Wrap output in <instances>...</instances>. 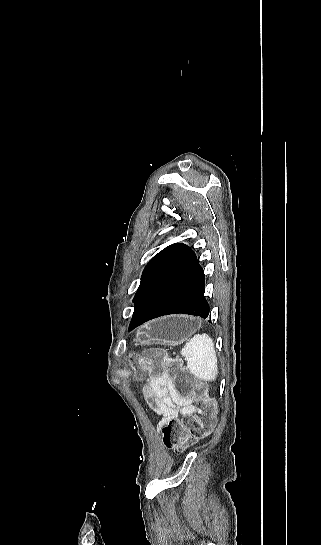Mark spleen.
<instances>
[{
	"label": "spleen",
	"instance_id": "3e777b00",
	"mask_svg": "<svg viewBox=\"0 0 321 545\" xmlns=\"http://www.w3.org/2000/svg\"><path fill=\"white\" fill-rule=\"evenodd\" d=\"M180 355L185 357L190 373L201 381H215L217 379L216 351L213 339L206 333L194 335L181 349Z\"/></svg>",
	"mask_w": 321,
	"mask_h": 545
}]
</instances>
